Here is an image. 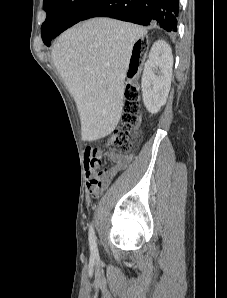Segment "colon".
<instances>
[{
    "label": "colon",
    "instance_id": "5ec220e1",
    "mask_svg": "<svg viewBox=\"0 0 227 298\" xmlns=\"http://www.w3.org/2000/svg\"><path fill=\"white\" fill-rule=\"evenodd\" d=\"M138 60L130 66L129 75L136 72ZM141 94L139 88L133 83H127L125 88V101L123 105L122 127L114 130L106 140L109 153L124 155L131 150L130 131L138 121L139 100ZM99 181H93L91 186L97 188ZM97 196L98 194H93Z\"/></svg>",
    "mask_w": 227,
    "mask_h": 298
}]
</instances>
